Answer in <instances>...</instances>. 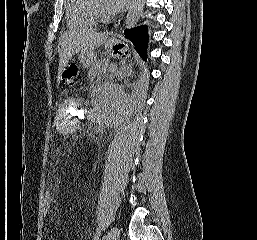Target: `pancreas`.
<instances>
[{
	"label": "pancreas",
	"instance_id": "cf45deb5",
	"mask_svg": "<svg viewBox=\"0 0 257 240\" xmlns=\"http://www.w3.org/2000/svg\"><path fill=\"white\" fill-rule=\"evenodd\" d=\"M109 63L105 59L96 61L90 68L88 78L90 81L109 77Z\"/></svg>",
	"mask_w": 257,
	"mask_h": 240
}]
</instances>
